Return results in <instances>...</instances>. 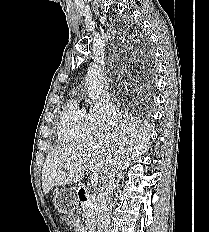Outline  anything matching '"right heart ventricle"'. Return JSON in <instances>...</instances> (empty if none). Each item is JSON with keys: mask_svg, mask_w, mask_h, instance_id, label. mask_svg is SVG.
Instances as JSON below:
<instances>
[{"mask_svg": "<svg viewBox=\"0 0 209 232\" xmlns=\"http://www.w3.org/2000/svg\"><path fill=\"white\" fill-rule=\"evenodd\" d=\"M94 133L89 113L79 107L75 98H71L60 116L59 141L63 144H72L86 140Z\"/></svg>", "mask_w": 209, "mask_h": 232, "instance_id": "right-heart-ventricle-1", "label": "right heart ventricle"}]
</instances>
